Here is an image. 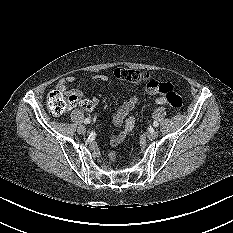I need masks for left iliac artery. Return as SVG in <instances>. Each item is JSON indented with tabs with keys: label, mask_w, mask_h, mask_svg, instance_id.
I'll use <instances>...</instances> for the list:
<instances>
[{
	"label": "left iliac artery",
	"mask_w": 233,
	"mask_h": 233,
	"mask_svg": "<svg viewBox=\"0 0 233 233\" xmlns=\"http://www.w3.org/2000/svg\"><path fill=\"white\" fill-rule=\"evenodd\" d=\"M158 125H159V123H158L157 121H154V122H153V126H154V127H158Z\"/></svg>",
	"instance_id": "obj_1"
}]
</instances>
